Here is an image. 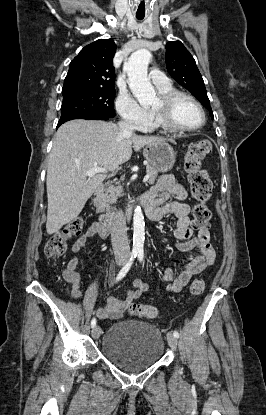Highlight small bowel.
<instances>
[{
	"label": "small bowel",
	"mask_w": 266,
	"mask_h": 415,
	"mask_svg": "<svg viewBox=\"0 0 266 415\" xmlns=\"http://www.w3.org/2000/svg\"><path fill=\"white\" fill-rule=\"evenodd\" d=\"M170 198L175 200L169 201ZM187 192L184 186L171 175L164 176L152 187L142 198L141 203L145 204L148 216L153 220H160L166 215L172 214L176 217V225L173 231L174 237L178 240L176 248L181 252H188L197 249L199 254L190 256L183 267H172L165 269L161 274V281L167 290L180 292L191 278L211 266L215 260V251L210 243L208 228L199 229L196 237H192L193 231L190 227V207L185 202ZM98 236L105 239L108 231L98 223H93L72 245L74 254L86 245L89 239ZM79 264L77 256L72 257L64 271L66 280L73 284L72 295L79 299L82 294L79 290L80 276L76 272ZM149 290V286L141 279L133 282L132 289L128 290L125 299L108 298L105 306L96 310L100 319H117L123 315L130 303L139 298Z\"/></svg>",
	"instance_id": "1"
}]
</instances>
